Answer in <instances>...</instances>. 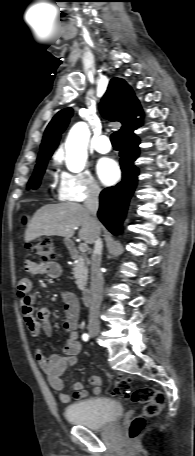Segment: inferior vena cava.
Returning a JSON list of instances; mask_svg holds the SVG:
<instances>
[{
    "instance_id": "inferior-vena-cava-1",
    "label": "inferior vena cava",
    "mask_w": 195,
    "mask_h": 456,
    "mask_svg": "<svg viewBox=\"0 0 195 456\" xmlns=\"http://www.w3.org/2000/svg\"><path fill=\"white\" fill-rule=\"evenodd\" d=\"M100 188L93 186L84 202V206L90 214V220L96 227L94 250L91 257V303L89 308V326H99V310L102 303L103 278L100 274V263L103 243L100 238L98 220L96 217L99 208Z\"/></svg>"
}]
</instances>
